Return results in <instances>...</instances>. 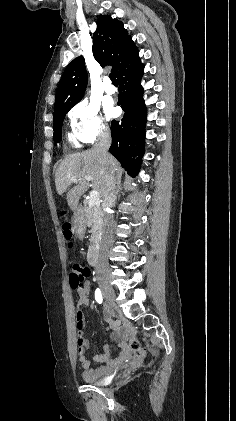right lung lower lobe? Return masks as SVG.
<instances>
[{
    "label": "right lung lower lobe",
    "mask_w": 236,
    "mask_h": 421,
    "mask_svg": "<svg viewBox=\"0 0 236 421\" xmlns=\"http://www.w3.org/2000/svg\"><path fill=\"white\" fill-rule=\"evenodd\" d=\"M143 69L137 57L116 74L120 84L117 104L125 113L121 120H113L111 123L112 145L109 152L133 177L138 174L144 154L146 106L142 97L144 90L140 84Z\"/></svg>",
    "instance_id": "1"
}]
</instances>
